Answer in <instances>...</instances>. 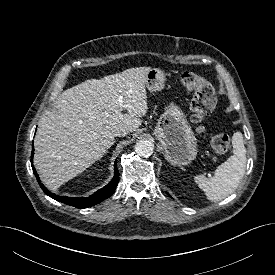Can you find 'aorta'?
Here are the masks:
<instances>
[{
	"instance_id": "aorta-1",
	"label": "aorta",
	"mask_w": 275,
	"mask_h": 275,
	"mask_svg": "<svg viewBox=\"0 0 275 275\" xmlns=\"http://www.w3.org/2000/svg\"><path fill=\"white\" fill-rule=\"evenodd\" d=\"M135 152L141 157H149L154 150V144L149 140H139L135 144Z\"/></svg>"
}]
</instances>
